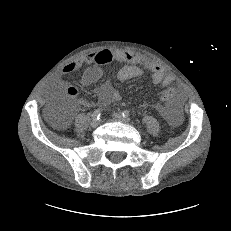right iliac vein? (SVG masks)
Returning a JSON list of instances; mask_svg holds the SVG:
<instances>
[{
	"label": "right iliac vein",
	"instance_id": "obj_1",
	"mask_svg": "<svg viewBox=\"0 0 231 231\" xmlns=\"http://www.w3.org/2000/svg\"><path fill=\"white\" fill-rule=\"evenodd\" d=\"M100 121L98 119H93L91 121V126L92 127H97L99 125Z\"/></svg>",
	"mask_w": 231,
	"mask_h": 231
}]
</instances>
